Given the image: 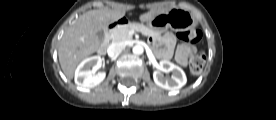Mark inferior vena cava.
<instances>
[{
  "mask_svg": "<svg viewBox=\"0 0 276 120\" xmlns=\"http://www.w3.org/2000/svg\"><path fill=\"white\" fill-rule=\"evenodd\" d=\"M125 48V44L123 42L112 43L107 50V53L110 57L118 54Z\"/></svg>",
  "mask_w": 276,
  "mask_h": 120,
  "instance_id": "602c4592",
  "label": "inferior vena cava"
}]
</instances>
